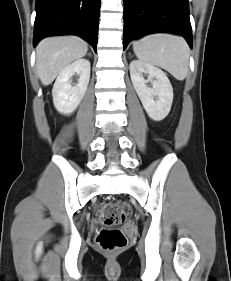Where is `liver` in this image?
Masks as SVG:
<instances>
[{"instance_id": "1", "label": "liver", "mask_w": 231, "mask_h": 281, "mask_svg": "<svg viewBox=\"0 0 231 281\" xmlns=\"http://www.w3.org/2000/svg\"><path fill=\"white\" fill-rule=\"evenodd\" d=\"M87 43L76 36H60L43 39L36 48L37 75L45 86L71 62L86 55Z\"/></svg>"}]
</instances>
